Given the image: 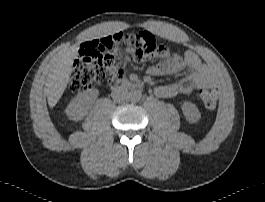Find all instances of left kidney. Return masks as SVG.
<instances>
[{
    "label": "left kidney",
    "mask_w": 265,
    "mask_h": 202,
    "mask_svg": "<svg viewBox=\"0 0 265 202\" xmlns=\"http://www.w3.org/2000/svg\"><path fill=\"white\" fill-rule=\"evenodd\" d=\"M181 108L187 121L196 123L201 118L200 111L195 104L185 101L183 102Z\"/></svg>",
    "instance_id": "left-kidney-1"
}]
</instances>
